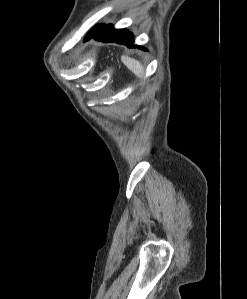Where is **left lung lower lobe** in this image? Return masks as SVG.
Segmentation results:
<instances>
[{
    "label": "left lung lower lobe",
    "mask_w": 247,
    "mask_h": 299,
    "mask_svg": "<svg viewBox=\"0 0 247 299\" xmlns=\"http://www.w3.org/2000/svg\"><path fill=\"white\" fill-rule=\"evenodd\" d=\"M94 38L103 42H116L124 44L127 47H138L146 50L141 46H135L133 40V34L127 29H114L113 25H99L96 29L90 31L85 37V41Z\"/></svg>",
    "instance_id": "0a47b994"
}]
</instances>
